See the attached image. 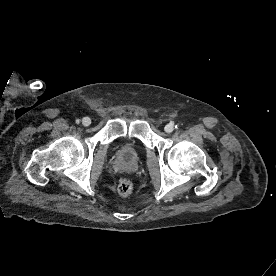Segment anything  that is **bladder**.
I'll return each instance as SVG.
<instances>
[{
    "label": "bladder",
    "instance_id": "1",
    "mask_svg": "<svg viewBox=\"0 0 276 276\" xmlns=\"http://www.w3.org/2000/svg\"><path fill=\"white\" fill-rule=\"evenodd\" d=\"M139 151V147L130 141H125L120 147V154L127 162L135 161L138 158Z\"/></svg>",
    "mask_w": 276,
    "mask_h": 276
}]
</instances>
